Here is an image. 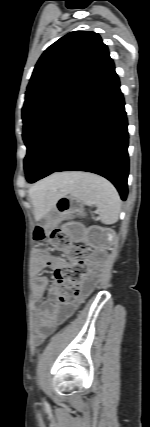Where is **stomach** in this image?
I'll return each mask as SVG.
<instances>
[{
    "label": "stomach",
    "mask_w": 150,
    "mask_h": 427,
    "mask_svg": "<svg viewBox=\"0 0 150 427\" xmlns=\"http://www.w3.org/2000/svg\"><path fill=\"white\" fill-rule=\"evenodd\" d=\"M53 207L60 215L76 214L81 211V201L72 195L62 193L54 201Z\"/></svg>",
    "instance_id": "stomach-1"
}]
</instances>
